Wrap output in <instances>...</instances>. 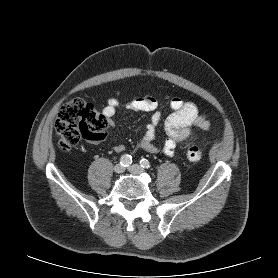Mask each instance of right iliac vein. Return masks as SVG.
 <instances>
[{"label":"right iliac vein","mask_w":278,"mask_h":278,"mask_svg":"<svg viewBox=\"0 0 278 278\" xmlns=\"http://www.w3.org/2000/svg\"><path fill=\"white\" fill-rule=\"evenodd\" d=\"M114 171L118 174L122 173L124 171V167L121 164H116L114 166Z\"/></svg>","instance_id":"63e3f726"}]
</instances>
